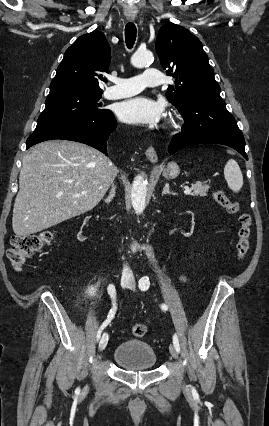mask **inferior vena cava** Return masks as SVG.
<instances>
[{
    "instance_id": "602c4592",
    "label": "inferior vena cava",
    "mask_w": 269,
    "mask_h": 426,
    "mask_svg": "<svg viewBox=\"0 0 269 426\" xmlns=\"http://www.w3.org/2000/svg\"><path fill=\"white\" fill-rule=\"evenodd\" d=\"M123 275L124 276L125 275H131V271H130L129 267L124 266V268H123Z\"/></svg>"
}]
</instances>
